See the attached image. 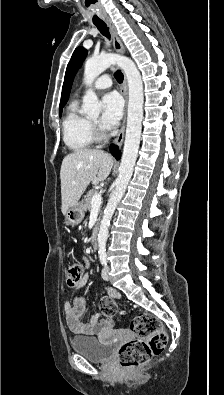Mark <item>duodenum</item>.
I'll list each match as a JSON object with an SVG mask.
<instances>
[{"label": "duodenum", "mask_w": 224, "mask_h": 395, "mask_svg": "<svg viewBox=\"0 0 224 395\" xmlns=\"http://www.w3.org/2000/svg\"><path fill=\"white\" fill-rule=\"evenodd\" d=\"M98 233H99V223L96 222L95 225L93 226L89 239L90 245L94 248L97 247L98 244Z\"/></svg>", "instance_id": "duodenum-1"}]
</instances>
